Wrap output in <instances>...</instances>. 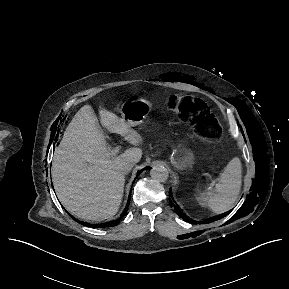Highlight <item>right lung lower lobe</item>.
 <instances>
[{
    "mask_svg": "<svg viewBox=\"0 0 289 289\" xmlns=\"http://www.w3.org/2000/svg\"><path fill=\"white\" fill-rule=\"evenodd\" d=\"M130 195H131V194H130ZM129 201H130V198H129V200H128V204H127L124 212L122 213L121 217H119L118 219H116V220H114V221H111V222L102 223V224H97V225H96V224H86V223H83V222H80V221L76 220V219L73 218V217H72V218L75 219L76 221H78L79 223L85 225V226H89V227H93V228H97V227H100V228H102V227H112V226H115V225L119 224V223H120V220L124 217V215H126V211H127V209H128V206H129Z\"/></svg>",
    "mask_w": 289,
    "mask_h": 289,
    "instance_id": "98d812e1",
    "label": "right lung lower lobe"
}]
</instances>
